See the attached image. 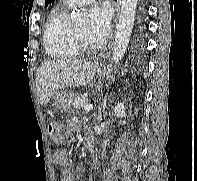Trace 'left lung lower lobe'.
Listing matches in <instances>:
<instances>
[{"label":"left lung lower lobe","instance_id":"0a47b994","mask_svg":"<svg viewBox=\"0 0 197 181\" xmlns=\"http://www.w3.org/2000/svg\"><path fill=\"white\" fill-rule=\"evenodd\" d=\"M145 17L146 9L145 7H142V10L140 12V22L136 29L135 37L131 45V55L134 57L141 55L145 50Z\"/></svg>","mask_w":197,"mask_h":181}]
</instances>
